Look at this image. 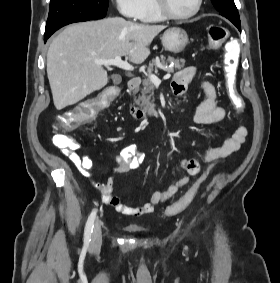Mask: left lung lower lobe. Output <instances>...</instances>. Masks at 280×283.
Here are the masks:
<instances>
[{"label": "left lung lower lobe", "instance_id": "0a47b994", "mask_svg": "<svg viewBox=\"0 0 280 283\" xmlns=\"http://www.w3.org/2000/svg\"><path fill=\"white\" fill-rule=\"evenodd\" d=\"M238 29L239 31H241V23H237V22H232Z\"/></svg>", "mask_w": 280, "mask_h": 283}]
</instances>
